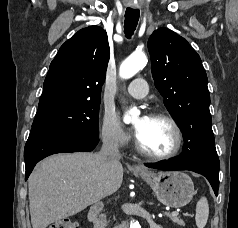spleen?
<instances>
[{
	"label": "spleen",
	"mask_w": 238,
	"mask_h": 228,
	"mask_svg": "<svg viewBox=\"0 0 238 228\" xmlns=\"http://www.w3.org/2000/svg\"><path fill=\"white\" fill-rule=\"evenodd\" d=\"M209 216V204L206 197H201L196 204L195 222L198 228H204Z\"/></svg>",
	"instance_id": "3e777b00"
}]
</instances>
